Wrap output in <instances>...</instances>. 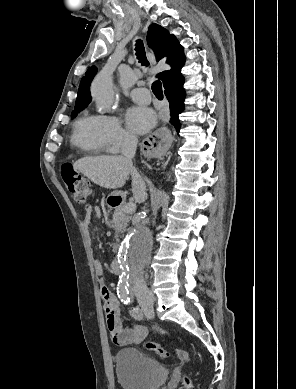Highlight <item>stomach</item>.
Masks as SVG:
<instances>
[{"label": "stomach", "instance_id": "1", "mask_svg": "<svg viewBox=\"0 0 296 389\" xmlns=\"http://www.w3.org/2000/svg\"><path fill=\"white\" fill-rule=\"evenodd\" d=\"M117 196L123 197V193L118 192V191H115V192H113V193L110 195V197H117Z\"/></svg>", "mask_w": 296, "mask_h": 389}]
</instances>
